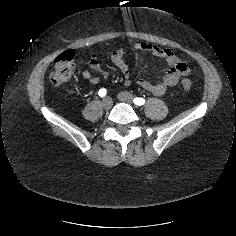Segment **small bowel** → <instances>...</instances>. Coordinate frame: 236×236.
Segmentation results:
<instances>
[{
	"instance_id": "small-bowel-1",
	"label": "small bowel",
	"mask_w": 236,
	"mask_h": 236,
	"mask_svg": "<svg viewBox=\"0 0 236 236\" xmlns=\"http://www.w3.org/2000/svg\"><path fill=\"white\" fill-rule=\"evenodd\" d=\"M133 49L150 53L164 60L169 65V70L161 82H153L145 79H139L137 81L143 89L154 95H163L167 93L171 88L178 84L181 77L188 75L190 72L189 65L168 48L159 47L148 42H140L135 43ZM100 53L101 51L96 52L91 57L88 63L90 70H84L82 72L84 79L92 85L98 84L101 79H105L109 75L106 70H103L100 67L98 62V56ZM109 53L112 61L124 76V85L130 86L133 83V79L131 77L128 62L125 58L126 50L123 47H117ZM93 72L99 73V75H96Z\"/></svg>"
}]
</instances>
